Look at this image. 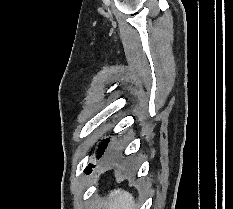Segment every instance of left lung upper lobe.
<instances>
[{"instance_id": "left-lung-upper-lobe-1", "label": "left lung upper lobe", "mask_w": 233, "mask_h": 209, "mask_svg": "<svg viewBox=\"0 0 233 209\" xmlns=\"http://www.w3.org/2000/svg\"><path fill=\"white\" fill-rule=\"evenodd\" d=\"M106 146H107V140H105V141L100 145L99 152H98V155H99V156L102 155V153L104 152Z\"/></svg>"}]
</instances>
